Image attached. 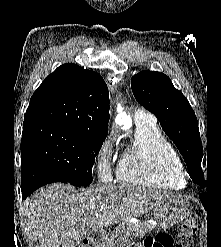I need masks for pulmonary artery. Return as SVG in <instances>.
Masks as SVG:
<instances>
[{
	"label": "pulmonary artery",
	"instance_id": "pulmonary-artery-1",
	"mask_svg": "<svg viewBox=\"0 0 221 247\" xmlns=\"http://www.w3.org/2000/svg\"><path fill=\"white\" fill-rule=\"evenodd\" d=\"M134 118H135V122L143 120V119H152V120H154L153 116H151L150 114H148L147 112H145L141 108H137L135 110Z\"/></svg>",
	"mask_w": 221,
	"mask_h": 247
}]
</instances>
